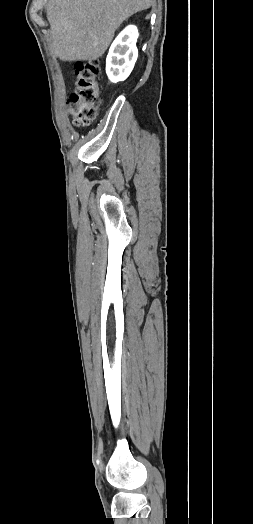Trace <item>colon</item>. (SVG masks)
I'll return each instance as SVG.
<instances>
[{"instance_id": "5ec220e1", "label": "colon", "mask_w": 253, "mask_h": 524, "mask_svg": "<svg viewBox=\"0 0 253 524\" xmlns=\"http://www.w3.org/2000/svg\"><path fill=\"white\" fill-rule=\"evenodd\" d=\"M99 72L98 60L79 61L75 65L76 83L68 110L79 127L89 125L96 117L100 105Z\"/></svg>"}]
</instances>
